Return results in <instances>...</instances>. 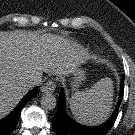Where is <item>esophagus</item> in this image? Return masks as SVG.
Returning a JSON list of instances; mask_svg holds the SVG:
<instances>
[{
	"mask_svg": "<svg viewBox=\"0 0 135 135\" xmlns=\"http://www.w3.org/2000/svg\"><path fill=\"white\" fill-rule=\"evenodd\" d=\"M56 84L53 80H48L41 86V92L43 93H53L55 91Z\"/></svg>",
	"mask_w": 135,
	"mask_h": 135,
	"instance_id": "34e87169",
	"label": "esophagus"
}]
</instances>
